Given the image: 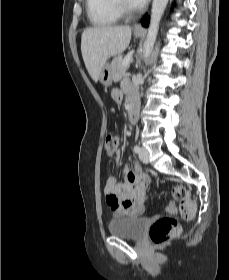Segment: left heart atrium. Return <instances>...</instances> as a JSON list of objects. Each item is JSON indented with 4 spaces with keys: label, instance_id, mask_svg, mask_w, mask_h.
Masks as SVG:
<instances>
[{
    "label": "left heart atrium",
    "instance_id": "obj_1",
    "mask_svg": "<svg viewBox=\"0 0 229 280\" xmlns=\"http://www.w3.org/2000/svg\"><path fill=\"white\" fill-rule=\"evenodd\" d=\"M127 1L129 5L134 8L141 7L147 2V0H127Z\"/></svg>",
    "mask_w": 229,
    "mask_h": 280
}]
</instances>
